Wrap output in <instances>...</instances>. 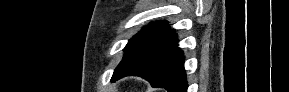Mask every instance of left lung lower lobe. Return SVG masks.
I'll use <instances>...</instances> for the list:
<instances>
[{"instance_id":"obj_1","label":"left lung lower lobe","mask_w":289,"mask_h":92,"mask_svg":"<svg viewBox=\"0 0 289 92\" xmlns=\"http://www.w3.org/2000/svg\"><path fill=\"white\" fill-rule=\"evenodd\" d=\"M177 42L176 33L168 29L132 62L114 71L111 80L136 75L149 81L154 88L187 92L184 56Z\"/></svg>"}]
</instances>
